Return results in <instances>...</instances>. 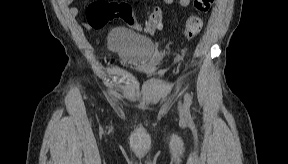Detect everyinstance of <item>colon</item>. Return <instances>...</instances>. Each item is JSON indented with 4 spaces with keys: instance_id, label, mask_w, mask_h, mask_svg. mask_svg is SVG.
I'll return each mask as SVG.
<instances>
[{
    "instance_id": "obj_1",
    "label": "colon",
    "mask_w": 288,
    "mask_h": 164,
    "mask_svg": "<svg viewBox=\"0 0 288 164\" xmlns=\"http://www.w3.org/2000/svg\"><path fill=\"white\" fill-rule=\"evenodd\" d=\"M212 5L211 0H195L193 13L188 17L182 30L184 39L195 38L203 27L202 14L208 12ZM115 17H120L127 21L131 29L144 30L148 34H153L163 27V13L160 8L147 17L145 25H140L125 2H115L109 0H94L87 11V21L95 28H102Z\"/></svg>"
}]
</instances>
